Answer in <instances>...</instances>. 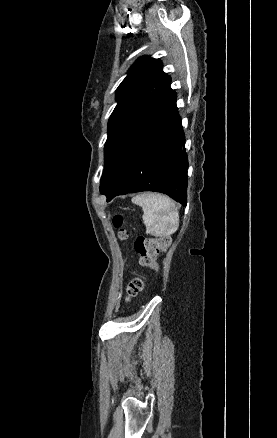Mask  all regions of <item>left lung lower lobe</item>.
Returning a JSON list of instances; mask_svg holds the SVG:
<instances>
[{
    "instance_id": "0a47b994",
    "label": "left lung lower lobe",
    "mask_w": 277,
    "mask_h": 438,
    "mask_svg": "<svg viewBox=\"0 0 277 438\" xmlns=\"http://www.w3.org/2000/svg\"><path fill=\"white\" fill-rule=\"evenodd\" d=\"M181 119L173 106L150 94L142 104L124 164L115 182L102 194L155 191L186 206L188 161Z\"/></svg>"
}]
</instances>
